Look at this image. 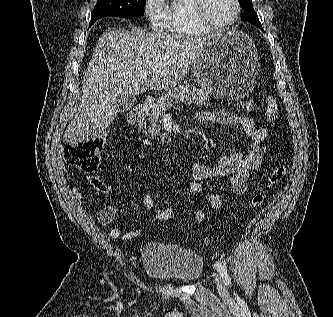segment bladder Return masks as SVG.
Segmentation results:
<instances>
[{
	"mask_svg": "<svg viewBox=\"0 0 333 317\" xmlns=\"http://www.w3.org/2000/svg\"><path fill=\"white\" fill-rule=\"evenodd\" d=\"M142 262L148 275L181 284L197 280L204 266L202 257L192 249L158 244L144 247Z\"/></svg>",
	"mask_w": 333,
	"mask_h": 317,
	"instance_id": "obj_1",
	"label": "bladder"
}]
</instances>
